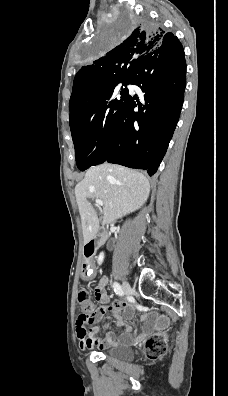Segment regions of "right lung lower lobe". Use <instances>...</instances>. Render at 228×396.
<instances>
[{
    "label": "right lung lower lobe",
    "instance_id": "right-lung-lower-lobe-1",
    "mask_svg": "<svg viewBox=\"0 0 228 396\" xmlns=\"http://www.w3.org/2000/svg\"><path fill=\"white\" fill-rule=\"evenodd\" d=\"M129 84L143 96L127 95L110 134L104 162L156 173L181 112L186 84L182 45L158 47L137 65Z\"/></svg>",
    "mask_w": 228,
    "mask_h": 396
}]
</instances>
